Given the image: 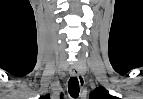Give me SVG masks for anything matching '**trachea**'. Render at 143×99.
Listing matches in <instances>:
<instances>
[{
	"instance_id": "obj_1",
	"label": "trachea",
	"mask_w": 143,
	"mask_h": 99,
	"mask_svg": "<svg viewBox=\"0 0 143 99\" xmlns=\"http://www.w3.org/2000/svg\"><path fill=\"white\" fill-rule=\"evenodd\" d=\"M68 91L71 97L77 98L79 96V82L76 77H71L68 82Z\"/></svg>"
}]
</instances>
